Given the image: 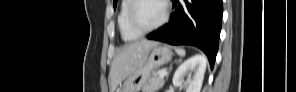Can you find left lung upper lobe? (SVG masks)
<instances>
[{"mask_svg":"<svg viewBox=\"0 0 296 92\" xmlns=\"http://www.w3.org/2000/svg\"><path fill=\"white\" fill-rule=\"evenodd\" d=\"M117 1H118V0H113L114 8L116 7Z\"/></svg>","mask_w":296,"mask_h":92,"instance_id":"obj_1","label":"left lung upper lobe"}]
</instances>
